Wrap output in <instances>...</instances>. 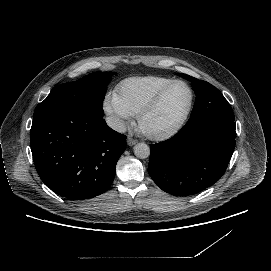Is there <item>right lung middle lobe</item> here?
<instances>
[{"mask_svg": "<svg viewBox=\"0 0 271 271\" xmlns=\"http://www.w3.org/2000/svg\"><path fill=\"white\" fill-rule=\"evenodd\" d=\"M113 72H94L75 82L57 86L40 103L33 118L52 111H93L103 116L102 103Z\"/></svg>", "mask_w": 271, "mask_h": 271, "instance_id": "right-lung-middle-lobe-1", "label": "right lung middle lobe"}]
</instances>
